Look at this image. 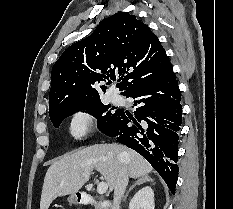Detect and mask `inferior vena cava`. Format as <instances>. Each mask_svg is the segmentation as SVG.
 <instances>
[{
    "mask_svg": "<svg viewBox=\"0 0 233 209\" xmlns=\"http://www.w3.org/2000/svg\"><path fill=\"white\" fill-rule=\"evenodd\" d=\"M128 182L129 175L127 172V168L125 166H122L114 188V200L112 209H120V203L122 198L124 197V193L128 185Z\"/></svg>",
    "mask_w": 233,
    "mask_h": 209,
    "instance_id": "1",
    "label": "inferior vena cava"
}]
</instances>
